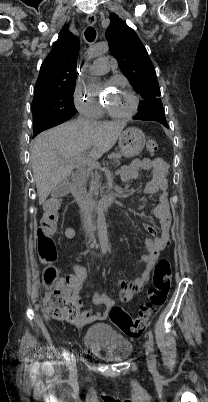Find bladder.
<instances>
[{
    "instance_id": "31cf9c89",
    "label": "bladder",
    "mask_w": 208,
    "mask_h": 402,
    "mask_svg": "<svg viewBox=\"0 0 208 402\" xmlns=\"http://www.w3.org/2000/svg\"><path fill=\"white\" fill-rule=\"evenodd\" d=\"M84 345L101 359L128 357L132 344L111 325L95 324L85 331Z\"/></svg>"
}]
</instances>
